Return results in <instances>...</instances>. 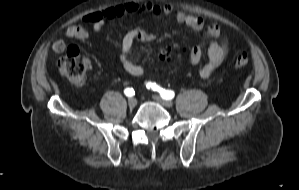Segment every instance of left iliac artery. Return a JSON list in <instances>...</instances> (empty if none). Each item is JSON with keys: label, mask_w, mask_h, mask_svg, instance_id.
I'll return each instance as SVG.
<instances>
[{"label": "left iliac artery", "mask_w": 299, "mask_h": 190, "mask_svg": "<svg viewBox=\"0 0 299 190\" xmlns=\"http://www.w3.org/2000/svg\"><path fill=\"white\" fill-rule=\"evenodd\" d=\"M147 88L152 89L154 91H158L163 99L171 100L174 98L175 93L171 90H165L158 86L156 83L148 82Z\"/></svg>", "instance_id": "obj_1"}]
</instances>
